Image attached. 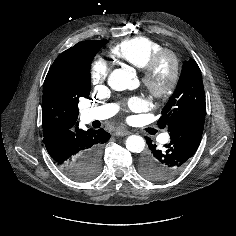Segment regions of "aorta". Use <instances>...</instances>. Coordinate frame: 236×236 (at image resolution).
<instances>
[{
  "instance_id": "aorta-1",
  "label": "aorta",
  "mask_w": 236,
  "mask_h": 236,
  "mask_svg": "<svg viewBox=\"0 0 236 236\" xmlns=\"http://www.w3.org/2000/svg\"><path fill=\"white\" fill-rule=\"evenodd\" d=\"M136 73L131 67L115 69L108 78L109 86L116 91L132 89L136 86ZM126 148L133 153H140L145 148V140L138 135H131L126 139Z\"/></svg>"
}]
</instances>
